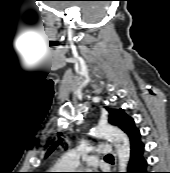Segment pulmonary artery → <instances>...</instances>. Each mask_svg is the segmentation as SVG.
<instances>
[{
	"label": "pulmonary artery",
	"mask_w": 170,
	"mask_h": 173,
	"mask_svg": "<svg viewBox=\"0 0 170 173\" xmlns=\"http://www.w3.org/2000/svg\"><path fill=\"white\" fill-rule=\"evenodd\" d=\"M94 153L95 155L103 156V155H112L114 153V149L110 145H104L99 147H93L85 142L79 144L76 148L72 149L67 155V166L69 168H74L79 164V160L81 156L86 153Z\"/></svg>",
	"instance_id": "pulmonary-artery-1"
}]
</instances>
